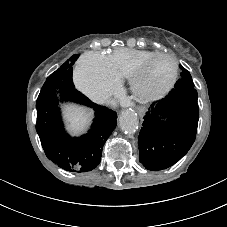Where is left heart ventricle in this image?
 I'll use <instances>...</instances> for the list:
<instances>
[{"instance_id":"left-heart-ventricle-1","label":"left heart ventricle","mask_w":227,"mask_h":227,"mask_svg":"<svg viewBox=\"0 0 227 227\" xmlns=\"http://www.w3.org/2000/svg\"><path fill=\"white\" fill-rule=\"evenodd\" d=\"M172 73L173 66L170 60L158 58L148 66L141 80V88L143 90L160 88L170 80Z\"/></svg>"}]
</instances>
